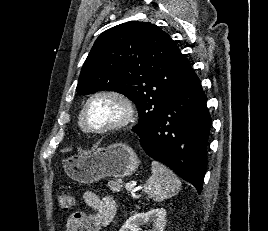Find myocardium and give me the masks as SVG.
Returning a JSON list of instances; mask_svg holds the SVG:
<instances>
[{
    "mask_svg": "<svg viewBox=\"0 0 268 231\" xmlns=\"http://www.w3.org/2000/svg\"><path fill=\"white\" fill-rule=\"evenodd\" d=\"M98 98H111L117 101L122 109L121 117L110 124L93 127L89 124L87 119V110L89 105ZM136 117V107L133 101L125 94L120 91L112 89L98 90L92 93L85 101L83 108L81 110V121L85 130L91 134L104 135L114 131L121 130L129 126Z\"/></svg>",
    "mask_w": 268,
    "mask_h": 231,
    "instance_id": "myocardium-1",
    "label": "myocardium"
}]
</instances>
